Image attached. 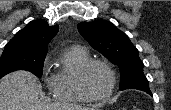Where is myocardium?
<instances>
[{
    "instance_id": "f54148a6",
    "label": "myocardium",
    "mask_w": 171,
    "mask_h": 110,
    "mask_svg": "<svg viewBox=\"0 0 171 110\" xmlns=\"http://www.w3.org/2000/svg\"><path fill=\"white\" fill-rule=\"evenodd\" d=\"M97 64L104 66L108 70V72L111 76L110 89L108 90V92H106L105 94L100 95V96H95V95L91 94L86 86V83H85L86 75H87L89 69L93 65H97ZM116 84H117V77H116L115 70L113 69V67L111 66V64L109 62L102 60V59H90L80 68V70L77 74L78 90L89 101H103V100H107V99L111 98L115 92Z\"/></svg>"
}]
</instances>
